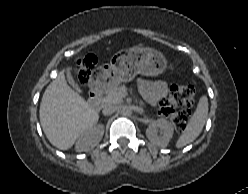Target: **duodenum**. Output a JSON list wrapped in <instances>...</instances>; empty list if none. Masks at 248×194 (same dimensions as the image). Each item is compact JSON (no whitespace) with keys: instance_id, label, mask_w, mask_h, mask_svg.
I'll use <instances>...</instances> for the list:
<instances>
[{"instance_id":"duodenum-1","label":"duodenum","mask_w":248,"mask_h":194,"mask_svg":"<svg viewBox=\"0 0 248 194\" xmlns=\"http://www.w3.org/2000/svg\"><path fill=\"white\" fill-rule=\"evenodd\" d=\"M101 87L95 86L91 89L88 98V106L90 109H97L100 104V94H101Z\"/></svg>"}]
</instances>
